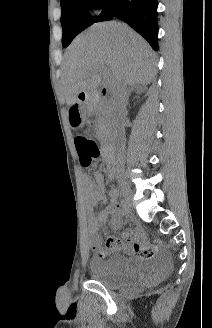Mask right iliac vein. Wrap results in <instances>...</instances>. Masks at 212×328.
<instances>
[{
  "instance_id": "63e3f726",
  "label": "right iliac vein",
  "mask_w": 212,
  "mask_h": 328,
  "mask_svg": "<svg viewBox=\"0 0 212 328\" xmlns=\"http://www.w3.org/2000/svg\"><path fill=\"white\" fill-rule=\"evenodd\" d=\"M121 192L124 197L126 207H130L132 204V192L126 184L121 185Z\"/></svg>"
}]
</instances>
